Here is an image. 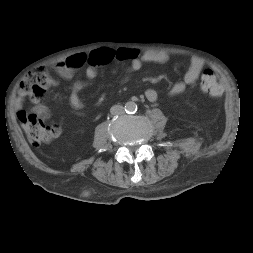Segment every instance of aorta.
Returning a JSON list of instances; mask_svg holds the SVG:
<instances>
[{
    "mask_svg": "<svg viewBox=\"0 0 253 253\" xmlns=\"http://www.w3.org/2000/svg\"><path fill=\"white\" fill-rule=\"evenodd\" d=\"M124 109L128 114L135 113L137 111V104L133 101H128L126 102Z\"/></svg>",
    "mask_w": 253,
    "mask_h": 253,
    "instance_id": "1",
    "label": "aorta"
}]
</instances>
